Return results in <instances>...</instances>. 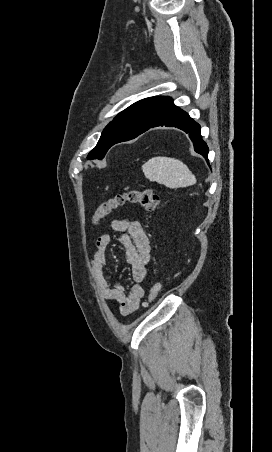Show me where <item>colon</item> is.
Listing matches in <instances>:
<instances>
[{
  "instance_id": "obj_1",
  "label": "colon",
  "mask_w": 272,
  "mask_h": 452,
  "mask_svg": "<svg viewBox=\"0 0 272 452\" xmlns=\"http://www.w3.org/2000/svg\"><path fill=\"white\" fill-rule=\"evenodd\" d=\"M159 195L151 189L132 188L102 200L93 213V220L99 222L111 216L119 207L126 204L137 205L148 212H153L159 205ZM161 282H154L150 288L149 301H153L161 290Z\"/></svg>"
}]
</instances>
